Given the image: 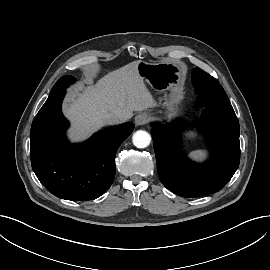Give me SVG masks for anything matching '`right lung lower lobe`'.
Instances as JSON below:
<instances>
[{
	"mask_svg": "<svg viewBox=\"0 0 270 270\" xmlns=\"http://www.w3.org/2000/svg\"><path fill=\"white\" fill-rule=\"evenodd\" d=\"M65 90L50 94L31 126V164L39 181L53 195L66 200H94L111 186L115 156L132 133L124 123L95 133L82 144L65 138L68 121L61 112Z\"/></svg>",
	"mask_w": 270,
	"mask_h": 270,
	"instance_id": "1",
	"label": "right lung lower lobe"
}]
</instances>
